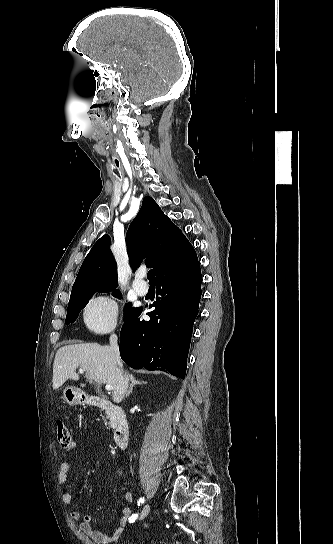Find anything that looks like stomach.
Instances as JSON below:
<instances>
[{
  "label": "stomach",
  "mask_w": 333,
  "mask_h": 544,
  "mask_svg": "<svg viewBox=\"0 0 333 544\" xmlns=\"http://www.w3.org/2000/svg\"><path fill=\"white\" fill-rule=\"evenodd\" d=\"M63 399L69 405L81 404L85 401V394L78 388L68 386L63 390Z\"/></svg>",
  "instance_id": "0dacf381"
}]
</instances>
